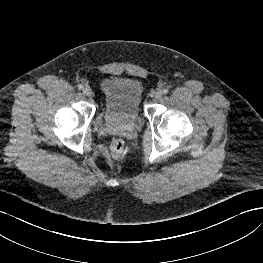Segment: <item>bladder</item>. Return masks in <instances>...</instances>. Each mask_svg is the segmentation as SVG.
Segmentation results:
<instances>
[{
  "label": "bladder",
  "instance_id": "bladder-1",
  "mask_svg": "<svg viewBox=\"0 0 263 263\" xmlns=\"http://www.w3.org/2000/svg\"><path fill=\"white\" fill-rule=\"evenodd\" d=\"M100 87L105 121L120 126L136 125L141 115V82L133 77L108 76L101 81Z\"/></svg>",
  "mask_w": 263,
  "mask_h": 263
}]
</instances>
